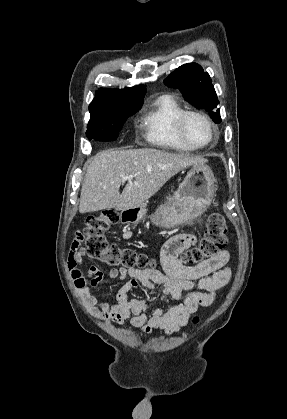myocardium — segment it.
I'll list each match as a JSON object with an SVG mask.
<instances>
[{"label": "myocardium", "mask_w": 287, "mask_h": 419, "mask_svg": "<svg viewBox=\"0 0 287 419\" xmlns=\"http://www.w3.org/2000/svg\"><path fill=\"white\" fill-rule=\"evenodd\" d=\"M191 117H196V118L201 119L208 126V128L210 130V133H211V137H210V140L208 142L203 143V144H196V143H193L192 141L189 140V138L187 137V135L185 133V125H186L187 120ZM176 131H177V134L180 137V139L186 145H188V146H190L194 149H202V148L208 147L212 143H214L217 139L216 127L214 126L212 121L205 114H203L199 111L185 110L184 112H182L176 120Z\"/></svg>", "instance_id": "1"}]
</instances>
